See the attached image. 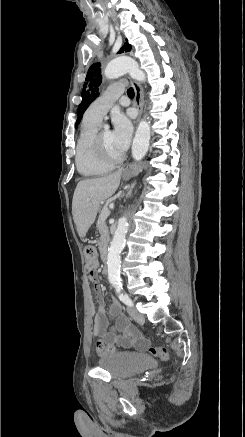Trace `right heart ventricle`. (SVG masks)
<instances>
[{"label":"right heart ventricle","instance_id":"1","mask_svg":"<svg viewBox=\"0 0 245 437\" xmlns=\"http://www.w3.org/2000/svg\"><path fill=\"white\" fill-rule=\"evenodd\" d=\"M99 128V122L84 116L76 140L75 163L78 172L85 177H98L109 173L113 164L100 160L92 146V140Z\"/></svg>","mask_w":245,"mask_h":437}]
</instances>
